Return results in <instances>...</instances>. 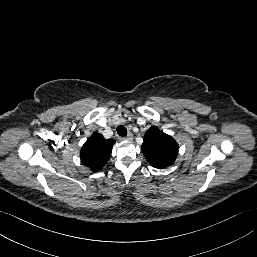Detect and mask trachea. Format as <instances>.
<instances>
[{"label":"trachea","mask_w":257,"mask_h":257,"mask_svg":"<svg viewBox=\"0 0 257 257\" xmlns=\"http://www.w3.org/2000/svg\"><path fill=\"white\" fill-rule=\"evenodd\" d=\"M117 133L120 136H126L127 135V129L123 125H119L117 127Z\"/></svg>","instance_id":"3493384b"}]
</instances>
